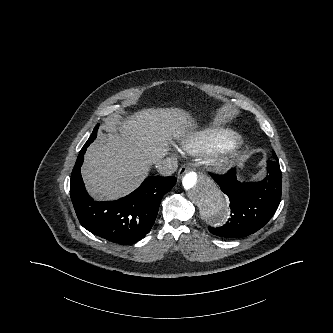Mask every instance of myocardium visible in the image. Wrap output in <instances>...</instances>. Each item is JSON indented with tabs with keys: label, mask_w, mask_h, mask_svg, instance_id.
<instances>
[{
	"label": "myocardium",
	"mask_w": 333,
	"mask_h": 333,
	"mask_svg": "<svg viewBox=\"0 0 333 333\" xmlns=\"http://www.w3.org/2000/svg\"><path fill=\"white\" fill-rule=\"evenodd\" d=\"M240 145L231 142L210 152L209 164L218 172L227 170L239 156Z\"/></svg>",
	"instance_id": "f54148a6"
}]
</instances>
